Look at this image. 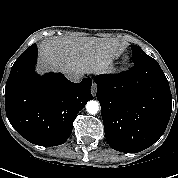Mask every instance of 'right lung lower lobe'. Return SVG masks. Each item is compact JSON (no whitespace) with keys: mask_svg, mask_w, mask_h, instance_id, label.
<instances>
[{"mask_svg":"<svg viewBox=\"0 0 178 178\" xmlns=\"http://www.w3.org/2000/svg\"><path fill=\"white\" fill-rule=\"evenodd\" d=\"M38 50L31 45L13 64L5 87V109L13 128L40 146L65 143L78 112L93 99L91 78L76 84L61 73L34 72Z\"/></svg>","mask_w":178,"mask_h":178,"instance_id":"right-lung-lower-lobe-1","label":"right lung lower lobe"}]
</instances>
